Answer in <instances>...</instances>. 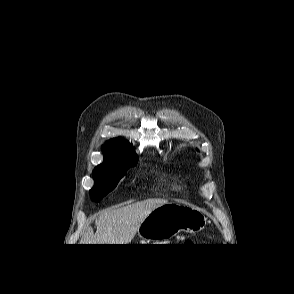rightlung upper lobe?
Segmentation results:
<instances>
[{
  "label": "right lung upper lobe",
  "instance_id": "right-lung-upper-lobe-1",
  "mask_svg": "<svg viewBox=\"0 0 294 294\" xmlns=\"http://www.w3.org/2000/svg\"><path fill=\"white\" fill-rule=\"evenodd\" d=\"M104 161L108 160H137L132 146L122 138H115L107 141L102 146Z\"/></svg>",
  "mask_w": 294,
  "mask_h": 294
}]
</instances>
